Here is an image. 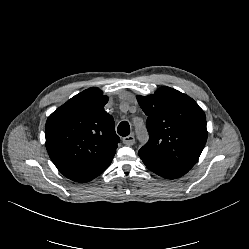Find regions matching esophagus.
I'll return each instance as SVG.
<instances>
[{
    "label": "esophagus",
    "instance_id": "esophagus-1",
    "mask_svg": "<svg viewBox=\"0 0 249 249\" xmlns=\"http://www.w3.org/2000/svg\"><path fill=\"white\" fill-rule=\"evenodd\" d=\"M123 143L127 146H131L135 144V137L134 135H128L122 139Z\"/></svg>",
    "mask_w": 249,
    "mask_h": 249
}]
</instances>
